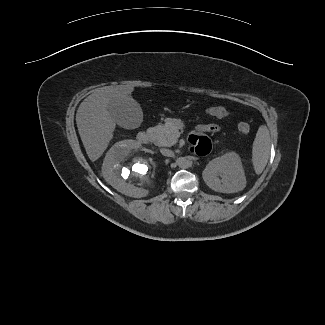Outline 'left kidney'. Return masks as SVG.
<instances>
[{"instance_id": "5707ae66", "label": "left kidney", "mask_w": 325, "mask_h": 325, "mask_svg": "<svg viewBox=\"0 0 325 325\" xmlns=\"http://www.w3.org/2000/svg\"><path fill=\"white\" fill-rule=\"evenodd\" d=\"M202 177L207 186L221 193H235L246 186L242 163L235 152L211 160L203 170Z\"/></svg>"}]
</instances>
